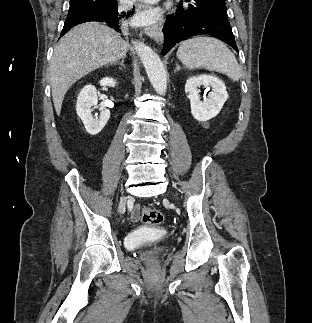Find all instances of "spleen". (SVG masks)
Listing matches in <instances>:
<instances>
[{
    "label": "spleen",
    "instance_id": "obj_1",
    "mask_svg": "<svg viewBox=\"0 0 312 323\" xmlns=\"http://www.w3.org/2000/svg\"><path fill=\"white\" fill-rule=\"evenodd\" d=\"M177 58L188 68H206L210 72H221L238 82L241 72L238 62L231 50L216 38H198L181 42L177 50Z\"/></svg>",
    "mask_w": 312,
    "mask_h": 323
}]
</instances>
